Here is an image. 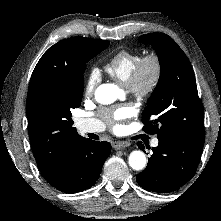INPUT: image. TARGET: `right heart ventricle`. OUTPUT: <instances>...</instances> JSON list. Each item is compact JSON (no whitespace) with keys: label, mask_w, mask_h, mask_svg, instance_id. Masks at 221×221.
Returning a JSON list of instances; mask_svg holds the SVG:
<instances>
[{"label":"right heart ventricle","mask_w":221,"mask_h":221,"mask_svg":"<svg viewBox=\"0 0 221 221\" xmlns=\"http://www.w3.org/2000/svg\"><path fill=\"white\" fill-rule=\"evenodd\" d=\"M141 58L140 52L121 50L108 59L104 69L110 77L127 85L131 74Z\"/></svg>","instance_id":"right-heart-ventricle-1"}]
</instances>
